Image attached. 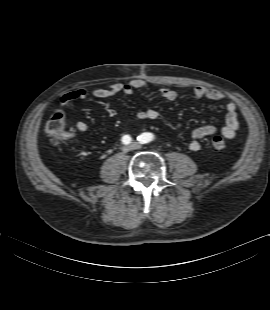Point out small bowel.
I'll return each mask as SVG.
<instances>
[{
  "mask_svg": "<svg viewBox=\"0 0 270 310\" xmlns=\"http://www.w3.org/2000/svg\"><path fill=\"white\" fill-rule=\"evenodd\" d=\"M146 86L147 84L144 80L133 79L128 84L113 83L105 88H94L91 90L90 94L98 99H106L118 94L133 96L135 90L144 89ZM88 94L89 92L85 88H77L63 94L60 98V103L62 106H65L70 102L85 99ZM193 94L195 98H207L212 101H222L225 98V95L222 92L204 86H196L193 90ZM157 95L167 101H174L177 98V93L170 89H161L157 92ZM225 113L224 125L221 127L220 131L224 137L231 139L235 137L239 129L237 105L232 101L227 102L225 105ZM158 115L157 110L149 108L138 112L137 118L139 120H156ZM106 118L107 117L103 115L101 120L104 122L106 121ZM74 127L79 132H87L90 129L89 125L83 121H77L74 124ZM217 131V128L213 125H203L195 128L191 132V138L188 143L189 149L192 151L200 150V140L215 134Z\"/></svg>",
  "mask_w": 270,
  "mask_h": 310,
  "instance_id": "c3829d8e",
  "label": "small bowel"
}]
</instances>
